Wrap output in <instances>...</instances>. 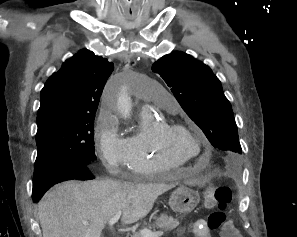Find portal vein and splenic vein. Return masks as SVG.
Segmentation results:
<instances>
[{
	"instance_id": "18ae733b",
	"label": "portal vein and splenic vein",
	"mask_w": 297,
	"mask_h": 237,
	"mask_svg": "<svg viewBox=\"0 0 297 237\" xmlns=\"http://www.w3.org/2000/svg\"><path fill=\"white\" fill-rule=\"evenodd\" d=\"M121 214H122V212L119 211L112 218H110L109 225L115 224L119 220ZM83 224L84 225H88V222L87 221H83ZM140 234H141L142 237H159V236H162L163 235V231L152 232V231L147 230V229H142L140 231Z\"/></svg>"
}]
</instances>
